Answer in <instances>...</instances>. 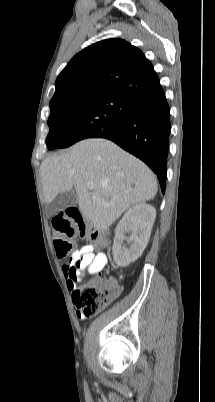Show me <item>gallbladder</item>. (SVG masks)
<instances>
[{
  "instance_id": "1",
  "label": "gallbladder",
  "mask_w": 215,
  "mask_h": 402,
  "mask_svg": "<svg viewBox=\"0 0 215 402\" xmlns=\"http://www.w3.org/2000/svg\"><path fill=\"white\" fill-rule=\"evenodd\" d=\"M78 203L77 194L73 191L59 193L53 201L47 204V213L52 216L59 211L75 206Z\"/></svg>"
}]
</instances>
